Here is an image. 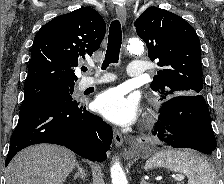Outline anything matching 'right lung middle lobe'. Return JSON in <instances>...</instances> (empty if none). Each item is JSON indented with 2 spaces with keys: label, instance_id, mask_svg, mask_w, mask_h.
Instances as JSON below:
<instances>
[{
  "label": "right lung middle lobe",
  "instance_id": "right-lung-middle-lobe-1",
  "mask_svg": "<svg viewBox=\"0 0 224 184\" xmlns=\"http://www.w3.org/2000/svg\"><path fill=\"white\" fill-rule=\"evenodd\" d=\"M74 84H58V83H36L24 86V101L20 108L47 98H58L63 100H72Z\"/></svg>",
  "mask_w": 224,
  "mask_h": 184
}]
</instances>
